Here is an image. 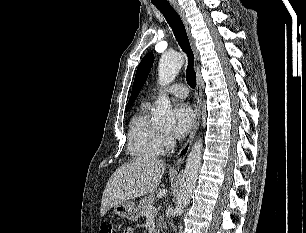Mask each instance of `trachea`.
I'll return each mask as SVG.
<instances>
[{
    "label": "trachea",
    "instance_id": "1",
    "mask_svg": "<svg viewBox=\"0 0 306 233\" xmlns=\"http://www.w3.org/2000/svg\"><path fill=\"white\" fill-rule=\"evenodd\" d=\"M160 12L166 18L168 24L170 25L176 40L178 41L181 49L188 56V66L186 69V80L191 88L196 86V73L194 71V55L190 47V43L187 37L185 26L178 15V13L173 9L170 4H154Z\"/></svg>",
    "mask_w": 306,
    "mask_h": 233
}]
</instances>
